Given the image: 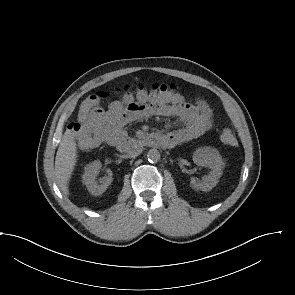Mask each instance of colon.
I'll return each mask as SVG.
<instances>
[{
    "instance_id": "5ec220e1",
    "label": "colon",
    "mask_w": 295,
    "mask_h": 295,
    "mask_svg": "<svg viewBox=\"0 0 295 295\" xmlns=\"http://www.w3.org/2000/svg\"><path fill=\"white\" fill-rule=\"evenodd\" d=\"M140 90H151L153 92H173L176 93L175 87L173 85L155 83L150 86L146 84H140L138 87ZM119 91H130L131 86H125ZM107 96L106 93L99 92L88 96L80 105L78 120L75 124L72 125L74 131H84L86 122L88 118L93 114V112L99 108L100 101ZM91 141H95L98 138V133L90 132L86 134ZM220 140L223 144L228 146H235L237 144V139L234 132L225 128L220 133Z\"/></svg>"
}]
</instances>
